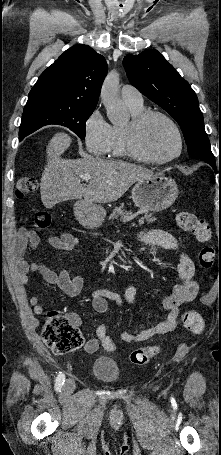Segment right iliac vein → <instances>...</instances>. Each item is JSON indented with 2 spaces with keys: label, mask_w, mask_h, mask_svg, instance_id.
<instances>
[{
  "label": "right iliac vein",
  "mask_w": 221,
  "mask_h": 455,
  "mask_svg": "<svg viewBox=\"0 0 221 455\" xmlns=\"http://www.w3.org/2000/svg\"><path fill=\"white\" fill-rule=\"evenodd\" d=\"M75 389V382L72 378H69L65 381L64 387H63V394L68 395L73 392Z\"/></svg>",
  "instance_id": "obj_1"
}]
</instances>
